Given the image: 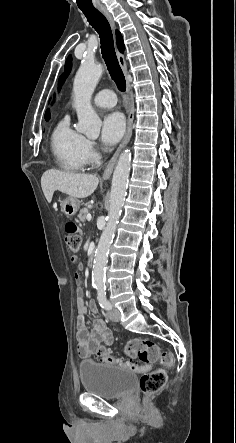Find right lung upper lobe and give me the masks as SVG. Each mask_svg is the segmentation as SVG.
<instances>
[{"mask_svg":"<svg viewBox=\"0 0 236 443\" xmlns=\"http://www.w3.org/2000/svg\"><path fill=\"white\" fill-rule=\"evenodd\" d=\"M116 40H117L118 49L121 52H123L125 49V46H124V42H123V38L121 36V33L118 30H116ZM45 118H46V120H49V118H50L49 110L46 111Z\"/></svg>","mask_w":236,"mask_h":443,"instance_id":"obj_1","label":"right lung upper lobe"}]
</instances>
